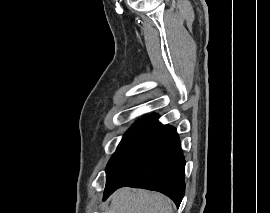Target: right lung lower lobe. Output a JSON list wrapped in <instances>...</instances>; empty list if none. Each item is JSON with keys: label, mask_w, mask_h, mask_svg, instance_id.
I'll return each mask as SVG.
<instances>
[{"label": "right lung lower lobe", "mask_w": 270, "mask_h": 213, "mask_svg": "<svg viewBox=\"0 0 270 213\" xmlns=\"http://www.w3.org/2000/svg\"><path fill=\"white\" fill-rule=\"evenodd\" d=\"M149 115L106 169L103 200L123 186L159 191L179 206L185 193V160L177 131Z\"/></svg>", "instance_id": "right-lung-lower-lobe-1"}]
</instances>
